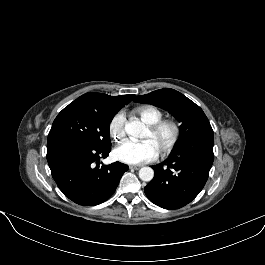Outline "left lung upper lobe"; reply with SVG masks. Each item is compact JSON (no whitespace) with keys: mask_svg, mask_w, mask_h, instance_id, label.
Returning a JSON list of instances; mask_svg holds the SVG:
<instances>
[{"mask_svg":"<svg viewBox=\"0 0 265 265\" xmlns=\"http://www.w3.org/2000/svg\"><path fill=\"white\" fill-rule=\"evenodd\" d=\"M135 102L151 103L169 111L180 123V136L175 147L180 146L191 136L212 130L203 110L180 92L166 88L134 98ZM174 147V148H175Z\"/></svg>","mask_w":265,"mask_h":265,"instance_id":"left-lung-upper-lobe-1","label":"left lung upper lobe"}]
</instances>
